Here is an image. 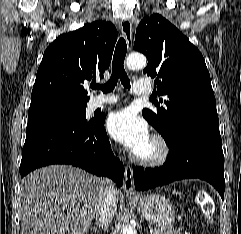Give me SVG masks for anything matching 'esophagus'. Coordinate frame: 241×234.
I'll list each match as a JSON object with an SVG mask.
<instances>
[{"label": "esophagus", "instance_id": "34e87169", "mask_svg": "<svg viewBox=\"0 0 241 234\" xmlns=\"http://www.w3.org/2000/svg\"><path fill=\"white\" fill-rule=\"evenodd\" d=\"M121 34L126 41L128 49L132 46V24L129 19L120 23ZM123 191L127 196H135L136 190L133 180V171L130 166L125 167Z\"/></svg>", "mask_w": 241, "mask_h": 234}]
</instances>
